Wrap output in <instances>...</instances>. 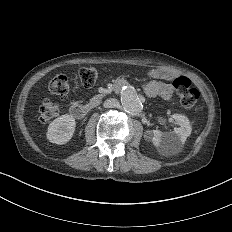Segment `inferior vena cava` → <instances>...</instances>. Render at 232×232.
Listing matches in <instances>:
<instances>
[{
	"mask_svg": "<svg viewBox=\"0 0 232 232\" xmlns=\"http://www.w3.org/2000/svg\"><path fill=\"white\" fill-rule=\"evenodd\" d=\"M118 104V101L114 98H109L107 100L104 101L103 106L110 108V107H116Z\"/></svg>",
	"mask_w": 232,
	"mask_h": 232,
	"instance_id": "602c4592",
	"label": "inferior vena cava"
}]
</instances>
